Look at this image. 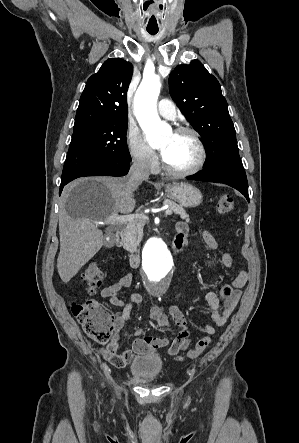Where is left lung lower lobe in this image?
<instances>
[{
  "label": "left lung lower lobe",
  "mask_w": 299,
  "mask_h": 443,
  "mask_svg": "<svg viewBox=\"0 0 299 443\" xmlns=\"http://www.w3.org/2000/svg\"><path fill=\"white\" fill-rule=\"evenodd\" d=\"M187 179L227 184L240 191L249 202L247 177L244 168L241 166H214L188 176Z\"/></svg>",
  "instance_id": "left-lung-lower-lobe-1"
}]
</instances>
